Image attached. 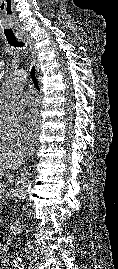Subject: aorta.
I'll use <instances>...</instances> for the list:
<instances>
[{
    "instance_id": "obj_1",
    "label": "aorta",
    "mask_w": 118,
    "mask_h": 269,
    "mask_svg": "<svg viewBox=\"0 0 118 269\" xmlns=\"http://www.w3.org/2000/svg\"><path fill=\"white\" fill-rule=\"evenodd\" d=\"M27 74L24 70L12 73L0 91V113H13L16 110L19 97L26 82ZM32 181L24 174L12 190L15 199H24L29 192Z\"/></svg>"
}]
</instances>
